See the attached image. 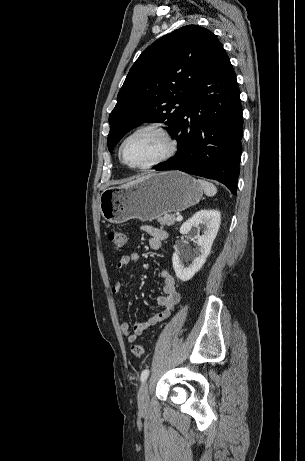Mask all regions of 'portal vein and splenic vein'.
Segmentation results:
<instances>
[{
  "instance_id": "obj_1",
  "label": "portal vein and splenic vein",
  "mask_w": 305,
  "mask_h": 461,
  "mask_svg": "<svg viewBox=\"0 0 305 461\" xmlns=\"http://www.w3.org/2000/svg\"><path fill=\"white\" fill-rule=\"evenodd\" d=\"M182 220H183V217L180 214H178L177 215V221H182Z\"/></svg>"
}]
</instances>
